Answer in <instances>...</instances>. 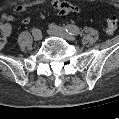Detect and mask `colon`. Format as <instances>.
I'll use <instances>...</instances> for the list:
<instances>
[{
    "mask_svg": "<svg viewBox=\"0 0 119 119\" xmlns=\"http://www.w3.org/2000/svg\"><path fill=\"white\" fill-rule=\"evenodd\" d=\"M118 26V21L116 17H111L106 22V31L108 33H113L116 31ZM7 29L4 25L0 26V45H4L7 41Z\"/></svg>",
    "mask_w": 119,
    "mask_h": 119,
    "instance_id": "5ec220e1",
    "label": "colon"
}]
</instances>
